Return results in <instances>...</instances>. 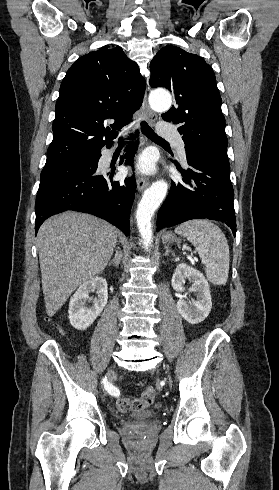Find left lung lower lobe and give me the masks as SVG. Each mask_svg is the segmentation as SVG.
<instances>
[{
  "label": "left lung lower lobe",
  "mask_w": 279,
  "mask_h": 490,
  "mask_svg": "<svg viewBox=\"0 0 279 490\" xmlns=\"http://www.w3.org/2000/svg\"><path fill=\"white\" fill-rule=\"evenodd\" d=\"M186 155L189 168L174 161L183 178L172 181L158 214L157 231L191 219H210L225 223L235 236L234 191L228 159L202 149L188 150Z\"/></svg>",
  "instance_id": "left-lung-lower-lobe-1"
}]
</instances>
